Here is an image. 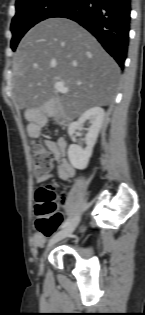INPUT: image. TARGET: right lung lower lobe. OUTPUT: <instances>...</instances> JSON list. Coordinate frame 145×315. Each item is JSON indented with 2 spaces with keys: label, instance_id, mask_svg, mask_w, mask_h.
Masks as SVG:
<instances>
[{
  "label": "right lung lower lobe",
  "instance_id": "98d812e1",
  "mask_svg": "<svg viewBox=\"0 0 145 315\" xmlns=\"http://www.w3.org/2000/svg\"><path fill=\"white\" fill-rule=\"evenodd\" d=\"M131 0H72L53 17L69 18L90 31L123 69L127 57Z\"/></svg>",
  "mask_w": 145,
  "mask_h": 315
}]
</instances>
